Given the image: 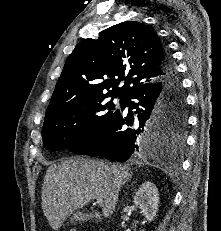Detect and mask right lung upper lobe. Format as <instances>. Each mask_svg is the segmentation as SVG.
Instances as JSON below:
<instances>
[{
    "instance_id": "1",
    "label": "right lung upper lobe",
    "mask_w": 221,
    "mask_h": 231,
    "mask_svg": "<svg viewBox=\"0 0 221 231\" xmlns=\"http://www.w3.org/2000/svg\"><path fill=\"white\" fill-rule=\"evenodd\" d=\"M164 53L156 34L136 21L122 22L101 31L98 39L82 41L65 63L45 118L74 99L103 95L124 99L161 81Z\"/></svg>"
}]
</instances>
